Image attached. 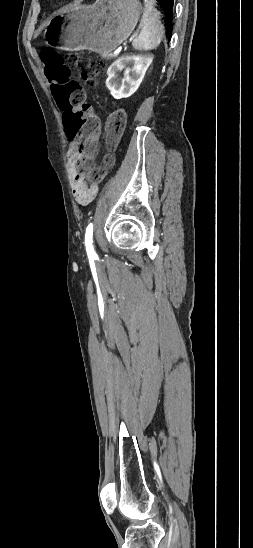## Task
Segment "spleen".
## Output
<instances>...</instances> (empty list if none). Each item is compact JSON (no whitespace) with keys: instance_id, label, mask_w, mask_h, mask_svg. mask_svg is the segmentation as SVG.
I'll return each instance as SVG.
<instances>
[{"instance_id":"3e777b00","label":"spleen","mask_w":253,"mask_h":548,"mask_svg":"<svg viewBox=\"0 0 253 548\" xmlns=\"http://www.w3.org/2000/svg\"><path fill=\"white\" fill-rule=\"evenodd\" d=\"M153 1L144 0L145 9L141 20V31L132 42L136 50H152L161 43L164 26L159 20V12L154 8Z\"/></svg>"}]
</instances>
